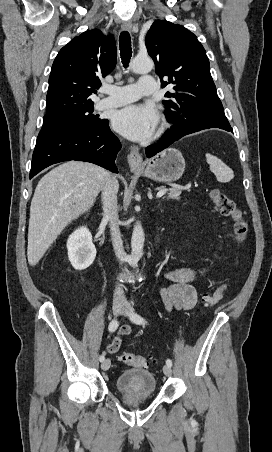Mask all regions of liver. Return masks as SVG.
I'll list each match as a JSON object with an SVG mask.
<instances>
[{
    "label": "liver",
    "mask_w": 272,
    "mask_h": 452,
    "mask_svg": "<svg viewBox=\"0 0 272 452\" xmlns=\"http://www.w3.org/2000/svg\"><path fill=\"white\" fill-rule=\"evenodd\" d=\"M110 178L104 168L82 161L63 163L41 178L30 206L27 257L31 266L68 224L93 206Z\"/></svg>",
    "instance_id": "liver-1"
}]
</instances>
